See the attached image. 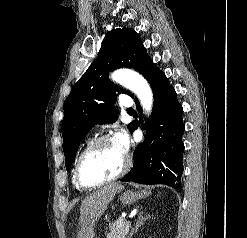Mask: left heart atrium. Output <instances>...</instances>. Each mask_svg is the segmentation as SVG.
Listing matches in <instances>:
<instances>
[{
	"label": "left heart atrium",
	"mask_w": 247,
	"mask_h": 238,
	"mask_svg": "<svg viewBox=\"0 0 247 238\" xmlns=\"http://www.w3.org/2000/svg\"><path fill=\"white\" fill-rule=\"evenodd\" d=\"M113 140L118 146V148L122 150L124 153L128 150L129 140H128V136L126 135V133H124L123 131H118L115 134Z\"/></svg>",
	"instance_id": "39dd6f15"
}]
</instances>
